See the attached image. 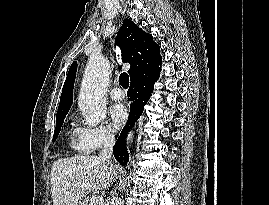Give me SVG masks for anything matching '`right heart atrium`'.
<instances>
[{"instance_id":"obj_1","label":"right heart atrium","mask_w":269,"mask_h":205,"mask_svg":"<svg viewBox=\"0 0 269 205\" xmlns=\"http://www.w3.org/2000/svg\"><path fill=\"white\" fill-rule=\"evenodd\" d=\"M79 142L89 151H96L114 141L113 133L105 125L79 126L76 129Z\"/></svg>"}]
</instances>
